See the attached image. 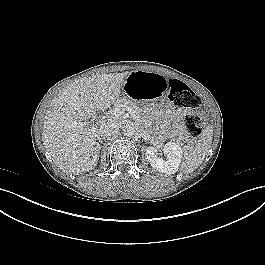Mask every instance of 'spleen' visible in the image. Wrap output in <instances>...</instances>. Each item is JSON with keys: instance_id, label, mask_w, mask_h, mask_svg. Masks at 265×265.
Here are the masks:
<instances>
[{"instance_id": "1", "label": "spleen", "mask_w": 265, "mask_h": 265, "mask_svg": "<svg viewBox=\"0 0 265 265\" xmlns=\"http://www.w3.org/2000/svg\"><path fill=\"white\" fill-rule=\"evenodd\" d=\"M212 141V130L207 128L200 143H198L193 150L186 153L181 164L182 172H190L197 169L203 162Z\"/></svg>"}]
</instances>
